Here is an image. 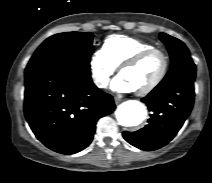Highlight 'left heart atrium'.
I'll list each match as a JSON object with an SVG mask.
<instances>
[{
  "instance_id": "obj_1",
  "label": "left heart atrium",
  "mask_w": 212,
  "mask_h": 183,
  "mask_svg": "<svg viewBox=\"0 0 212 183\" xmlns=\"http://www.w3.org/2000/svg\"><path fill=\"white\" fill-rule=\"evenodd\" d=\"M112 89L119 93H128L134 91V88L121 74L112 82Z\"/></svg>"
}]
</instances>
